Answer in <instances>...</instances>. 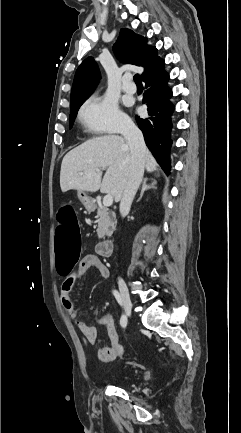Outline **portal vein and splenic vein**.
Returning <instances> with one entry per match:
<instances>
[{
    "label": "portal vein and splenic vein",
    "instance_id": "1",
    "mask_svg": "<svg viewBox=\"0 0 241 433\" xmlns=\"http://www.w3.org/2000/svg\"><path fill=\"white\" fill-rule=\"evenodd\" d=\"M81 175L83 174V172L80 173ZM113 204V196L108 194L103 198V205L105 207H109Z\"/></svg>",
    "mask_w": 241,
    "mask_h": 433
}]
</instances>
